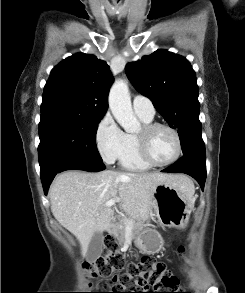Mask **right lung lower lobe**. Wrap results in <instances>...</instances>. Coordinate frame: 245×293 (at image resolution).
<instances>
[{
	"mask_svg": "<svg viewBox=\"0 0 245 293\" xmlns=\"http://www.w3.org/2000/svg\"><path fill=\"white\" fill-rule=\"evenodd\" d=\"M71 169L98 172L104 170L105 166L102 162L82 158L61 160L55 163L48 172L41 174L44 193L47 194L48 188L57 173Z\"/></svg>",
	"mask_w": 245,
	"mask_h": 293,
	"instance_id": "obj_1",
	"label": "right lung lower lobe"
}]
</instances>
